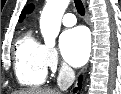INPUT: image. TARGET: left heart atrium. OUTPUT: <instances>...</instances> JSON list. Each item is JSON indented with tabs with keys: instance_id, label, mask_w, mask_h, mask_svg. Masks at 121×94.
Returning <instances> with one entry per match:
<instances>
[{
	"instance_id": "39dd6f15",
	"label": "left heart atrium",
	"mask_w": 121,
	"mask_h": 94,
	"mask_svg": "<svg viewBox=\"0 0 121 94\" xmlns=\"http://www.w3.org/2000/svg\"><path fill=\"white\" fill-rule=\"evenodd\" d=\"M60 48L64 60L80 67L87 61L90 53V38L83 27L66 30L60 37Z\"/></svg>"
}]
</instances>
